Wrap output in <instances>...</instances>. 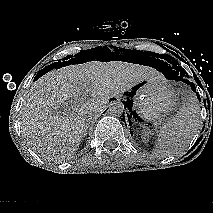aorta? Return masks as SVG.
Wrapping results in <instances>:
<instances>
[{
  "mask_svg": "<svg viewBox=\"0 0 213 213\" xmlns=\"http://www.w3.org/2000/svg\"><path fill=\"white\" fill-rule=\"evenodd\" d=\"M108 112L111 116L119 117L124 112V105L121 101H112L109 104Z\"/></svg>",
  "mask_w": 213,
  "mask_h": 213,
  "instance_id": "obj_1",
  "label": "aorta"
}]
</instances>
